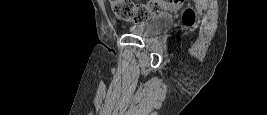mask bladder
<instances>
[{"label": "bladder", "mask_w": 267, "mask_h": 115, "mask_svg": "<svg viewBox=\"0 0 267 115\" xmlns=\"http://www.w3.org/2000/svg\"><path fill=\"white\" fill-rule=\"evenodd\" d=\"M173 24V17L168 13H161L149 19L126 28L127 33L143 38L157 36L168 30Z\"/></svg>", "instance_id": "bladder-1"}]
</instances>
